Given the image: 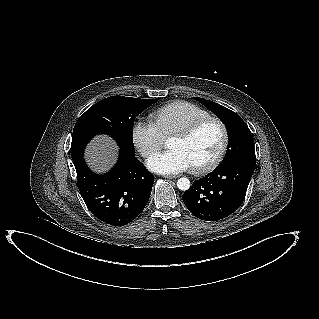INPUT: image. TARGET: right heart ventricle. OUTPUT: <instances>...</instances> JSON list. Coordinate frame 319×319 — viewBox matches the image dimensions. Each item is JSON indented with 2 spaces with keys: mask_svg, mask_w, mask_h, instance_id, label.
<instances>
[{
  "mask_svg": "<svg viewBox=\"0 0 319 319\" xmlns=\"http://www.w3.org/2000/svg\"><path fill=\"white\" fill-rule=\"evenodd\" d=\"M208 116L210 114L201 107L187 101L178 100L154 110L150 114V119L165 139L193 121Z\"/></svg>",
  "mask_w": 319,
  "mask_h": 319,
  "instance_id": "obj_1",
  "label": "right heart ventricle"
}]
</instances>
